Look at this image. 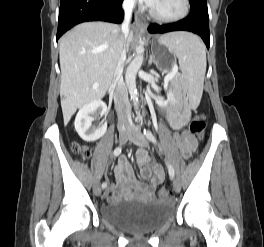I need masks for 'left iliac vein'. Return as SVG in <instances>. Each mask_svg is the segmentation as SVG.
<instances>
[{
  "label": "left iliac vein",
  "mask_w": 264,
  "mask_h": 247,
  "mask_svg": "<svg viewBox=\"0 0 264 247\" xmlns=\"http://www.w3.org/2000/svg\"><path fill=\"white\" fill-rule=\"evenodd\" d=\"M129 140L140 147L148 146V141L146 137L138 128H133L131 130V133L129 135ZM173 189L175 192H179L181 190V185L177 179L173 180Z\"/></svg>",
  "instance_id": "left-iliac-vein-1"
}]
</instances>
